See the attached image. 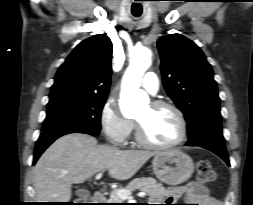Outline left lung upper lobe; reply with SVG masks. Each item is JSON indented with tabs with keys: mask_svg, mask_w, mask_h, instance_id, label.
Returning <instances> with one entry per match:
<instances>
[{
	"mask_svg": "<svg viewBox=\"0 0 253 205\" xmlns=\"http://www.w3.org/2000/svg\"><path fill=\"white\" fill-rule=\"evenodd\" d=\"M157 47L164 88L188 123L186 145L224 143L217 86L201 49L180 34L161 37Z\"/></svg>",
	"mask_w": 253,
	"mask_h": 205,
	"instance_id": "5c2ea615",
	"label": "left lung upper lobe"
}]
</instances>
